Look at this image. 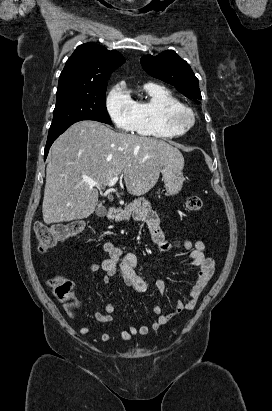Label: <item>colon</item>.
Masks as SVG:
<instances>
[{
	"instance_id": "obj_1",
	"label": "colon",
	"mask_w": 272,
	"mask_h": 411,
	"mask_svg": "<svg viewBox=\"0 0 272 411\" xmlns=\"http://www.w3.org/2000/svg\"><path fill=\"white\" fill-rule=\"evenodd\" d=\"M189 211H199L203 201L199 196H190L186 202ZM85 224L82 221H72L55 225H47L43 222L34 224L35 238L41 251L52 248L59 241L82 232ZM49 285L55 296L64 302L72 315H76L74 286L70 279L62 275H54L49 279Z\"/></svg>"
}]
</instances>
